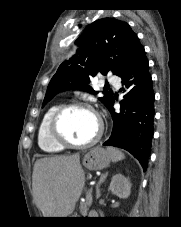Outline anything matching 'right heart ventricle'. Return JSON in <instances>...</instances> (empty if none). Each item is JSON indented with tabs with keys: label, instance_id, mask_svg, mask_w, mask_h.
Segmentation results:
<instances>
[{
	"label": "right heart ventricle",
	"instance_id": "1",
	"mask_svg": "<svg viewBox=\"0 0 181 227\" xmlns=\"http://www.w3.org/2000/svg\"><path fill=\"white\" fill-rule=\"evenodd\" d=\"M59 105H53L44 113L38 129V145L46 153H59L64 147L56 143L49 133V123Z\"/></svg>",
	"mask_w": 181,
	"mask_h": 227
}]
</instances>
